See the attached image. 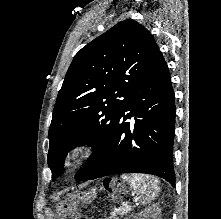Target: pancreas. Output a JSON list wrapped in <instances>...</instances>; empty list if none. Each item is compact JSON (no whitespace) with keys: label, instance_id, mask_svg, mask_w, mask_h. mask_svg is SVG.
<instances>
[{"label":"pancreas","instance_id":"1","mask_svg":"<svg viewBox=\"0 0 221 219\" xmlns=\"http://www.w3.org/2000/svg\"><path fill=\"white\" fill-rule=\"evenodd\" d=\"M131 211V207H119V208H113L110 217L108 219H119L118 216L126 215L128 212Z\"/></svg>","mask_w":221,"mask_h":219}]
</instances>
